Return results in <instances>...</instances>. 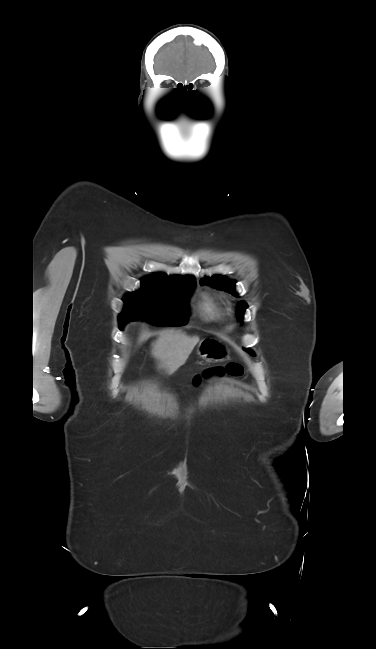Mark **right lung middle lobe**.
I'll use <instances>...</instances> for the list:
<instances>
[{"label": "right lung middle lobe", "instance_id": "1", "mask_svg": "<svg viewBox=\"0 0 376 649\" xmlns=\"http://www.w3.org/2000/svg\"><path fill=\"white\" fill-rule=\"evenodd\" d=\"M194 286L193 276L143 278L141 289L124 298L125 307L119 315L120 329L134 320L156 325H185L189 313L188 297Z\"/></svg>", "mask_w": 376, "mask_h": 649}]
</instances>
